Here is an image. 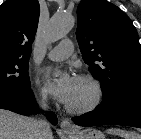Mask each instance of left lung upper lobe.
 Instances as JSON below:
<instances>
[{"label": "left lung upper lobe", "mask_w": 141, "mask_h": 139, "mask_svg": "<svg viewBox=\"0 0 141 139\" xmlns=\"http://www.w3.org/2000/svg\"><path fill=\"white\" fill-rule=\"evenodd\" d=\"M77 14L82 57L101 82L103 99L141 87V45L131 19L105 0H82Z\"/></svg>", "instance_id": "1"}]
</instances>
